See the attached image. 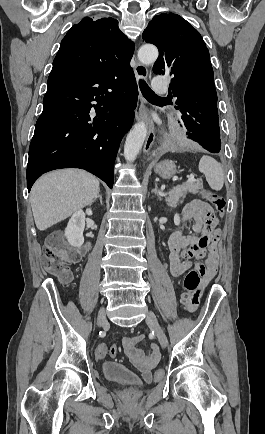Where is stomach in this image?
Here are the masks:
<instances>
[{
  "mask_svg": "<svg viewBox=\"0 0 265 434\" xmlns=\"http://www.w3.org/2000/svg\"><path fill=\"white\" fill-rule=\"evenodd\" d=\"M155 172L160 176V178H172L176 172V166L172 160H164V162H160V164H156Z\"/></svg>",
  "mask_w": 265,
  "mask_h": 434,
  "instance_id": "obj_1",
  "label": "stomach"
}]
</instances>
